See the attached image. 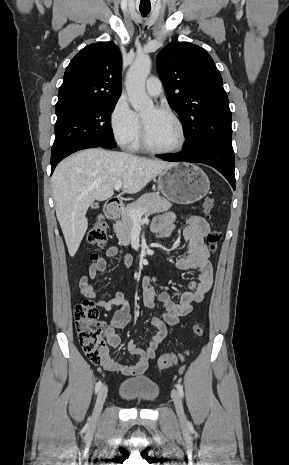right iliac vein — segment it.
Segmentation results:
<instances>
[{
  "mask_svg": "<svg viewBox=\"0 0 289 465\" xmlns=\"http://www.w3.org/2000/svg\"><path fill=\"white\" fill-rule=\"evenodd\" d=\"M107 393H108L107 386H102L100 388L99 392H98L95 407H94V411H93V420L94 421H97L99 416H100L101 410L103 408V404H104V402L106 400V397H107Z\"/></svg>",
  "mask_w": 289,
  "mask_h": 465,
  "instance_id": "63e3f726",
  "label": "right iliac vein"
}]
</instances>
